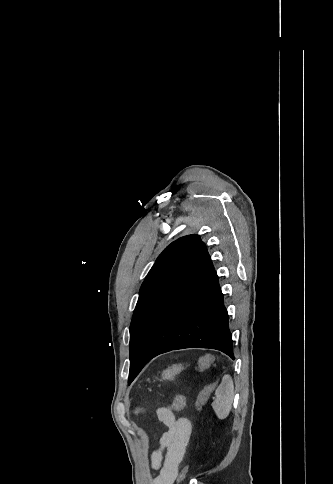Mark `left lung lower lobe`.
<instances>
[{
    "instance_id": "0a47b994",
    "label": "left lung lower lobe",
    "mask_w": 333,
    "mask_h": 484,
    "mask_svg": "<svg viewBox=\"0 0 333 484\" xmlns=\"http://www.w3.org/2000/svg\"><path fill=\"white\" fill-rule=\"evenodd\" d=\"M184 348L216 349L234 359L223 294L205 245L192 255L157 303L130 364L144 367L159 354Z\"/></svg>"
}]
</instances>
